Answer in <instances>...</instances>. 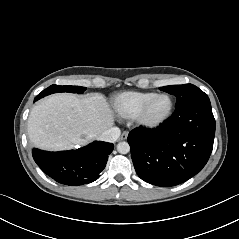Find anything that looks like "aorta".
<instances>
[{"instance_id":"aorta-1","label":"aorta","mask_w":239,"mask_h":239,"mask_svg":"<svg viewBox=\"0 0 239 239\" xmlns=\"http://www.w3.org/2000/svg\"><path fill=\"white\" fill-rule=\"evenodd\" d=\"M117 151L120 154H127L130 151V146L127 142H120L117 145Z\"/></svg>"}]
</instances>
